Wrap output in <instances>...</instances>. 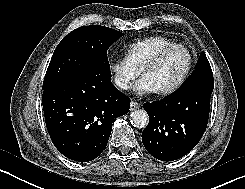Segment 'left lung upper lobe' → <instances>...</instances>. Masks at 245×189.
Returning <instances> with one entry per match:
<instances>
[{
	"mask_svg": "<svg viewBox=\"0 0 245 189\" xmlns=\"http://www.w3.org/2000/svg\"><path fill=\"white\" fill-rule=\"evenodd\" d=\"M188 86H201L210 90L214 88L212 69L204 52H201L193 74L181 88Z\"/></svg>",
	"mask_w": 245,
	"mask_h": 189,
	"instance_id": "left-lung-upper-lobe-1",
	"label": "left lung upper lobe"
}]
</instances>
